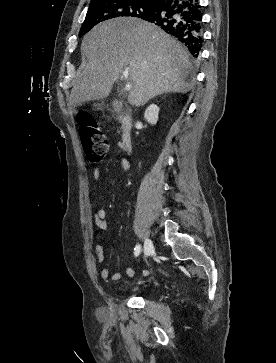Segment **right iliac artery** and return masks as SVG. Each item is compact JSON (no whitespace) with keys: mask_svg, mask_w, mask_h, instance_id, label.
Masks as SVG:
<instances>
[{"mask_svg":"<svg viewBox=\"0 0 276 363\" xmlns=\"http://www.w3.org/2000/svg\"><path fill=\"white\" fill-rule=\"evenodd\" d=\"M134 255L137 257L139 254H140V252H141V245H136V247L134 248Z\"/></svg>","mask_w":276,"mask_h":363,"instance_id":"obj_1","label":"right iliac artery"}]
</instances>
